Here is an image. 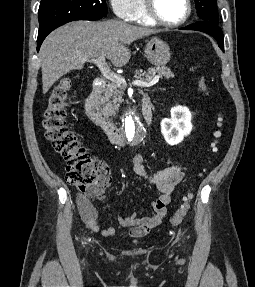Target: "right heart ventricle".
Masks as SVG:
<instances>
[{"mask_svg":"<svg viewBox=\"0 0 255 287\" xmlns=\"http://www.w3.org/2000/svg\"><path fill=\"white\" fill-rule=\"evenodd\" d=\"M125 33H144V32H125ZM130 39H154V38H130ZM158 48H168V47H158Z\"/></svg>","mask_w":255,"mask_h":287,"instance_id":"right-heart-ventricle-1","label":"right heart ventricle"}]
</instances>
